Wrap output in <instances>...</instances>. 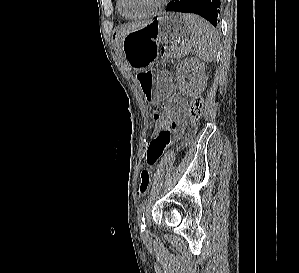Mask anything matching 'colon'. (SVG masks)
Instances as JSON below:
<instances>
[{
	"label": "colon",
	"mask_w": 299,
	"mask_h": 273,
	"mask_svg": "<svg viewBox=\"0 0 299 273\" xmlns=\"http://www.w3.org/2000/svg\"><path fill=\"white\" fill-rule=\"evenodd\" d=\"M163 51L165 48L163 47ZM203 100L201 97L193 98L188 106V116L192 124H197L202 116ZM173 119V112L170 108H165L153 115V135L165 130ZM153 170L145 169L140 174L138 194H146L151 186Z\"/></svg>",
	"instance_id": "colon-1"
}]
</instances>
